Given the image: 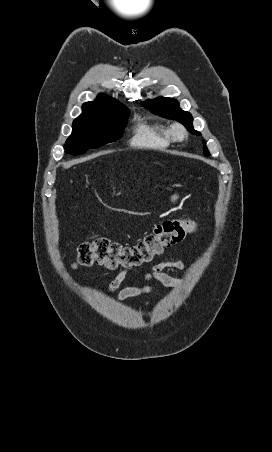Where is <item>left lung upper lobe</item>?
<instances>
[{
    "label": "left lung upper lobe",
    "instance_id": "5c2ea615",
    "mask_svg": "<svg viewBox=\"0 0 272 452\" xmlns=\"http://www.w3.org/2000/svg\"><path fill=\"white\" fill-rule=\"evenodd\" d=\"M143 106L161 117L181 122L188 129V131L193 134L200 135V133L193 128V118L191 114L189 112L183 111L179 107V103L176 100L160 97L154 100L145 101L143 103ZM203 151L205 156L209 155V152L205 145L203 147Z\"/></svg>",
    "mask_w": 272,
    "mask_h": 452
}]
</instances>
